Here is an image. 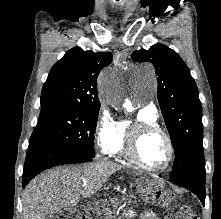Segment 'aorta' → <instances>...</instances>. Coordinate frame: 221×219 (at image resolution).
Segmentation results:
<instances>
[{
	"label": "aorta",
	"instance_id": "obj_1",
	"mask_svg": "<svg viewBox=\"0 0 221 219\" xmlns=\"http://www.w3.org/2000/svg\"><path fill=\"white\" fill-rule=\"evenodd\" d=\"M152 75V73H150ZM100 95L102 98L109 101H117L118 94L116 92V79L111 74H104L100 79ZM126 109H131L132 105L129 101L124 104Z\"/></svg>",
	"mask_w": 221,
	"mask_h": 219
}]
</instances>
